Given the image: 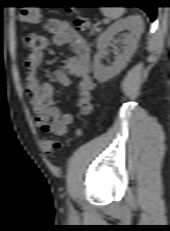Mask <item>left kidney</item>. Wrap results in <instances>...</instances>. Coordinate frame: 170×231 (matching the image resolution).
<instances>
[{
    "label": "left kidney",
    "mask_w": 170,
    "mask_h": 231,
    "mask_svg": "<svg viewBox=\"0 0 170 231\" xmlns=\"http://www.w3.org/2000/svg\"><path fill=\"white\" fill-rule=\"evenodd\" d=\"M128 30L130 34L122 41L123 52L119 54L113 65L104 66L101 63L107 45L117 35V33ZM143 32V20L139 15L128 16L114 23L103 32L97 39V53L94 56V76L98 82H106L119 74L133 56L140 35Z\"/></svg>",
    "instance_id": "obj_1"
}]
</instances>
